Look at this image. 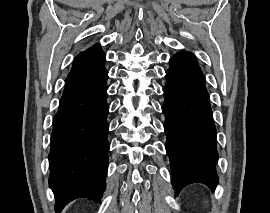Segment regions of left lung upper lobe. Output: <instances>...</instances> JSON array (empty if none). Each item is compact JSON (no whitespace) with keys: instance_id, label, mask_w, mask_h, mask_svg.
Segmentation results:
<instances>
[{"instance_id":"left-lung-upper-lobe-1","label":"left lung upper lobe","mask_w":270,"mask_h":213,"mask_svg":"<svg viewBox=\"0 0 270 213\" xmlns=\"http://www.w3.org/2000/svg\"><path fill=\"white\" fill-rule=\"evenodd\" d=\"M170 66H197L198 62L191 53L181 51L169 60Z\"/></svg>"}]
</instances>
